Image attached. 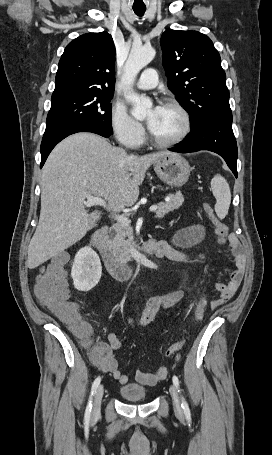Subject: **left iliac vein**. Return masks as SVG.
I'll list each match as a JSON object with an SVG mask.
<instances>
[{"label":"left iliac vein","mask_w":272,"mask_h":455,"mask_svg":"<svg viewBox=\"0 0 272 455\" xmlns=\"http://www.w3.org/2000/svg\"><path fill=\"white\" fill-rule=\"evenodd\" d=\"M170 393L172 396L173 405H174L175 410L178 413H181L182 412L181 402H180L179 395H178L177 390L174 387V385L170 386Z\"/></svg>","instance_id":"4c4485c4"}]
</instances>
